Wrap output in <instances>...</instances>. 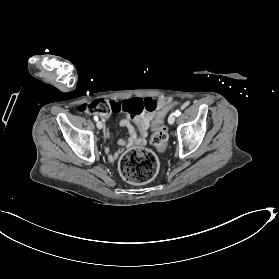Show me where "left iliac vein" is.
Instances as JSON below:
<instances>
[{
  "mask_svg": "<svg viewBox=\"0 0 279 279\" xmlns=\"http://www.w3.org/2000/svg\"><path fill=\"white\" fill-rule=\"evenodd\" d=\"M174 122H175V114L172 113V114H170V116L168 117V123H169L170 125H172Z\"/></svg>",
  "mask_w": 279,
  "mask_h": 279,
  "instance_id": "obj_1",
  "label": "left iliac vein"
}]
</instances>
